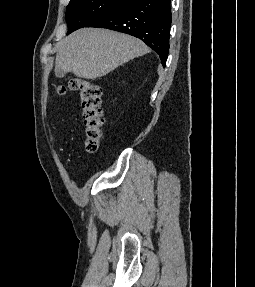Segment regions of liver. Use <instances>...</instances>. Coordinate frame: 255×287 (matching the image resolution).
Here are the masks:
<instances>
[{
	"instance_id": "1",
	"label": "liver",
	"mask_w": 255,
	"mask_h": 287,
	"mask_svg": "<svg viewBox=\"0 0 255 287\" xmlns=\"http://www.w3.org/2000/svg\"><path fill=\"white\" fill-rule=\"evenodd\" d=\"M148 52L149 48L141 40L127 34L82 28L60 42L56 68L73 72L78 78L94 80Z\"/></svg>"
}]
</instances>
